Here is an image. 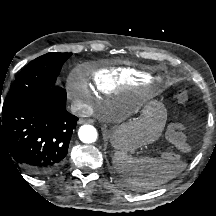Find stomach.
I'll list each match as a JSON object with an SVG mask.
<instances>
[{"label": "stomach", "instance_id": "1", "mask_svg": "<svg viewBox=\"0 0 216 216\" xmlns=\"http://www.w3.org/2000/svg\"><path fill=\"white\" fill-rule=\"evenodd\" d=\"M167 110L159 100H149L141 110L140 117L117 126L111 134L112 145L123 152L155 142L165 127Z\"/></svg>", "mask_w": 216, "mask_h": 216}]
</instances>
